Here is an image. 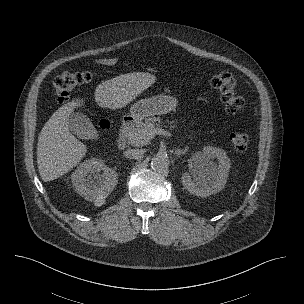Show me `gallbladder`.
I'll list each match as a JSON object with an SVG mask.
<instances>
[{
    "mask_svg": "<svg viewBox=\"0 0 304 304\" xmlns=\"http://www.w3.org/2000/svg\"><path fill=\"white\" fill-rule=\"evenodd\" d=\"M70 131L81 139H91L96 135V129L91 120L80 112H73L68 118Z\"/></svg>",
    "mask_w": 304,
    "mask_h": 304,
    "instance_id": "obj_1",
    "label": "gallbladder"
}]
</instances>
